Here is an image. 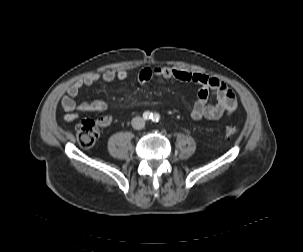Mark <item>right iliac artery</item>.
I'll list each match as a JSON object with an SVG mask.
<instances>
[{"instance_id": "1", "label": "right iliac artery", "mask_w": 303, "mask_h": 252, "mask_svg": "<svg viewBox=\"0 0 303 252\" xmlns=\"http://www.w3.org/2000/svg\"><path fill=\"white\" fill-rule=\"evenodd\" d=\"M143 118H144L145 120L151 119V118H152V113H150L149 111L144 112Z\"/></svg>"}]
</instances>
